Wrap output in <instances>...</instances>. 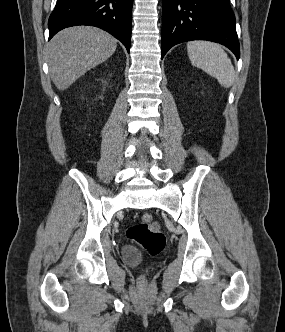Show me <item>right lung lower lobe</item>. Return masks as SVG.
Segmentation results:
<instances>
[{
    "mask_svg": "<svg viewBox=\"0 0 285 332\" xmlns=\"http://www.w3.org/2000/svg\"><path fill=\"white\" fill-rule=\"evenodd\" d=\"M132 3L133 0H58L48 21L49 40L66 27L90 25L112 34L129 52Z\"/></svg>",
    "mask_w": 285,
    "mask_h": 332,
    "instance_id": "right-lung-lower-lobe-1",
    "label": "right lung lower lobe"
}]
</instances>
